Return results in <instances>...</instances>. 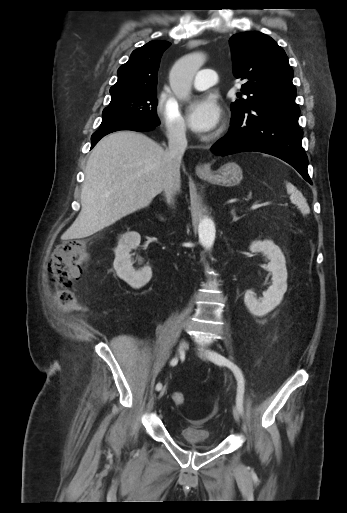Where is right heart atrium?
Returning a JSON list of instances; mask_svg holds the SVG:
<instances>
[{
  "label": "right heart atrium",
  "mask_w": 347,
  "mask_h": 513,
  "mask_svg": "<svg viewBox=\"0 0 347 513\" xmlns=\"http://www.w3.org/2000/svg\"><path fill=\"white\" fill-rule=\"evenodd\" d=\"M155 110L168 138L175 142L185 140L186 123L168 89L164 88L159 93Z\"/></svg>",
  "instance_id": "right-heart-atrium-1"
}]
</instances>
